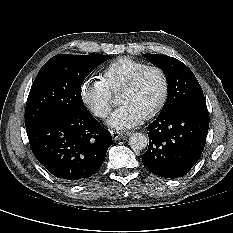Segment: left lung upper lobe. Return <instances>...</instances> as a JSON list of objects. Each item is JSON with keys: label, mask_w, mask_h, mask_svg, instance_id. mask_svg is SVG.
Listing matches in <instances>:
<instances>
[{"label": "left lung upper lobe", "mask_w": 233, "mask_h": 233, "mask_svg": "<svg viewBox=\"0 0 233 233\" xmlns=\"http://www.w3.org/2000/svg\"><path fill=\"white\" fill-rule=\"evenodd\" d=\"M167 76L168 97L160 114L186 105L206 106L200 84L193 72L176 58L160 54H144Z\"/></svg>", "instance_id": "left-lung-upper-lobe-1"}]
</instances>
